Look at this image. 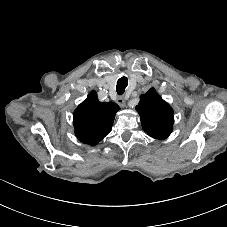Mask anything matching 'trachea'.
<instances>
[{
    "label": "trachea",
    "instance_id": "obj_1",
    "mask_svg": "<svg viewBox=\"0 0 227 227\" xmlns=\"http://www.w3.org/2000/svg\"><path fill=\"white\" fill-rule=\"evenodd\" d=\"M128 85V80L125 76H122L118 79L117 85H116V92L118 95H122Z\"/></svg>",
    "mask_w": 227,
    "mask_h": 227
}]
</instances>
